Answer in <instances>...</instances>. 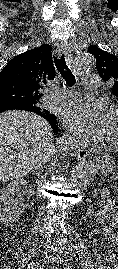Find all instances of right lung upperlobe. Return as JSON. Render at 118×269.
Listing matches in <instances>:
<instances>
[{"mask_svg": "<svg viewBox=\"0 0 118 269\" xmlns=\"http://www.w3.org/2000/svg\"><path fill=\"white\" fill-rule=\"evenodd\" d=\"M54 76L52 47L49 44L15 56L0 72V104L17 102L16 96L31 99L34 105L27 106L49 121L52 129L56 130L55 116L39 105L44 86Z\"/></svg>", "mask_w": 118, "mask_h": 269, "instance_id": "cb5924a9", "label": "right lung upper lobe"}]
</instances>
